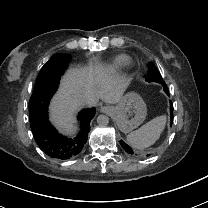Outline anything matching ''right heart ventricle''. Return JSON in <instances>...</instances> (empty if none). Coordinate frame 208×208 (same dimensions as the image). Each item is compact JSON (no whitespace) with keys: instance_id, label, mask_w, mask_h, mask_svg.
Masks as SVG:
<instances>
[{"instance_id":"1","label":"right heart ventricle","mask_w":208,"mask_h":208,"mask_svg":"<svg viewBox=\"0 0 208 208\" xmlns=\"http://www.w3.org/2000/svg\"><path fill=\"white\" fill-rule=\"evenodd\" d=\"M132 63V58L128 54H119L115 56L108 64L99 67L95 73V79L98 82L105 83L112 75L127 67Z\"/></svg>"}]
</instances>
